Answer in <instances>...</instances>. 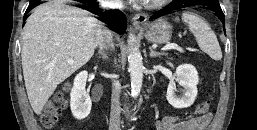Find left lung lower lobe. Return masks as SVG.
<instances>
[{
    "label": "left lung lower lobe",
    "mask_w": 257,
    "mask_h": 130,
    "mask_svg": "<svg viewBox=\"0 0 257 130\" xmlns=\"http://www.w3.org/2000/svg\"><path fill=\"white\" fill-rule=\"evenodd\" d=\"M190 5H202L205 9L213 11L215 15L225 24L224 14L219 5L218 0H179L176 2H171L164 9L155 12L149 20H153L162 16H165L172 11L190 6Z\"/></svg>",
    "instance_id": "1"
}]
</instances>
